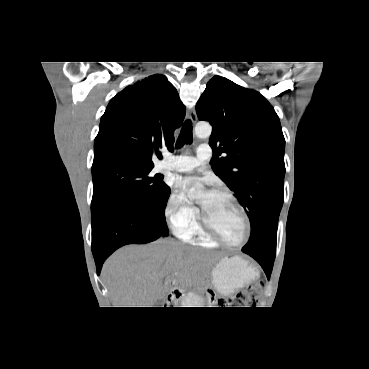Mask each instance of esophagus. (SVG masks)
Segmentation results:
<instances>
[{
    "mask_svg": "<svg viewBox=\"0 0 369 369\" xmlns=\"http://www.w3.org/2000/svg\"><path fill=\"white\" fill-rule=\"evenodd\" d=\"M187 117L192 121L193 124H195L197 121L196 109L195 108L190 109L187 113Z\"/></svg>",
    "mask_w": 369,
    "mask_h": 369,
    "instance_id": "esophagus-1",
    "label": "esophagus"
}]
</instances>
